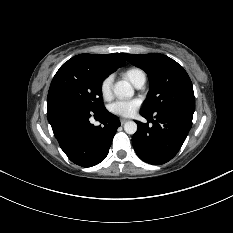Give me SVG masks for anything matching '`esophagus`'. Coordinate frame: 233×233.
Wrapping results in <instances>:
<instances>
[{"label": "esophagus", "mask_w": 233, "mask_h": 233, "mask_svg": "<svg viewBox=\"0 0 233 233\" xmlns=\"http://www.w3.org/2000/svg\"><path fill=\"white\" fill-rule=\"evenodd\" d=\"M128 120L127 119H125V118H121L120 119V123L123 125L124 123H126Z\"/></svg>", "instance_id": "1"}]
</instances>
